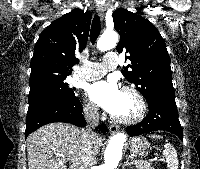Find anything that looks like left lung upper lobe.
Segmentation results:
<instances>
[{"label":"left lung upper lobe","mask_w":200,"mask_h":169,"mask_svg":"<svg viewBox=\"0 0 200 169\" xmlns=\"http://www.w3.org/2000/svg\"><path fill=\"white\" fill-rule=\"evenodd\" d=\"M114 27L120 34L116 47L126 52L131 64L121 70L148 101L154 97L174 98L170 57L157 28L147 19L126 9L113 13Z\"/></svg>","instance_id":"5c2ea615"}]
</instances>
